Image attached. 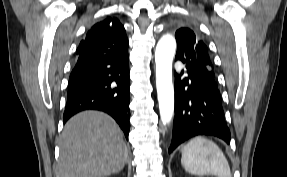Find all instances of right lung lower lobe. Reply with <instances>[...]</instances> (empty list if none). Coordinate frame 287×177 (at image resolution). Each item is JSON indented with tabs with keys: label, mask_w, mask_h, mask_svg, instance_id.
<instances>
[{
	"label": "right lung lower lobe",
	"mask_w": 287,
	"mask_h": 177,
	"mask_svg": "<svg viewBox=\"0 0 287 177\" xmlns=\"http://www.w3.org/2000/svg\"><path fill=\"white\" fill-rule=\"evenodd\" d=\"M86 49L70 74L64 123L83 110L111 115L128 138L130 130V82L126 33L87 35Z\"/></svg>",
	"instance_id": "1"
}]
</instances>
